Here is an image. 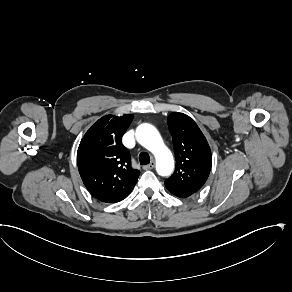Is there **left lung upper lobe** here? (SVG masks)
Instances as JSON below:
<instances>
[{
  "label": "left lung upper lobe",
  "instance_id": "1",
  "mask_svg": "<svg viewBox=\"0 0 292 292\" xmlns=\"http://www.w3.org/2000/svg\"><path fill=\"white\" fill-rule=\"evenodd\" d=\"M169 131L173 137L176 156L174 173L165 180L166 188L198 192L208 179L212 154L198 125L183 113L168 116Z\"/></svg>",
  "mask_w": 292,
  "mask_h": 292
}]
</instances>
